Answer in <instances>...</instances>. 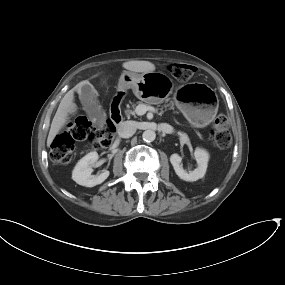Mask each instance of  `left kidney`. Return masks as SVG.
Listing matches in <instances>:
<instances>
[{
  "mask_svg": "<svg viewBox=\"0 0 285 285\" xmlns=\"http://www.w3.org/2000/svg\"><path fill=\"white\" fill-rule=\"evenodd\" d=\"M194 158L197 161L198 166L193 171L187 172L184 170L181 164V156L178 154H172L170 156V162L175 170V173L184 181H197L198 179L203 178L206 173L209 161V153L205 149L196 148Z\"/></svg>",
  "mask_w": 285,
  "mask_h": 285,
  "instance_id": "obj_1",
  "label": "left kidney"
}]
</instances>
